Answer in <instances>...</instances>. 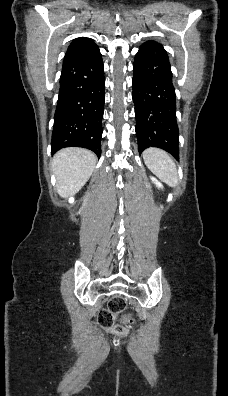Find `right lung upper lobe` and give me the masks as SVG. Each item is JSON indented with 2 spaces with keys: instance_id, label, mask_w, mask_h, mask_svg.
Wrapping results in <instances>:
<instances>
[{
  "instance_id": "obj_1",
  "label": "right lung upper lobe",
  "mask_w": 228,
  "mask_h": 396,
  "mask_svg": "<svg viewBox=\"0 0 228 396\" xmlns=\"http://www.w3.org/2000/svg\"><path fill=\"white\" fill-rule=\"evenodd\" d=\"M93 46H96V44L90 38H76L69 45L65 57L80 53Z\"/></svg>"
}]
</instances>
